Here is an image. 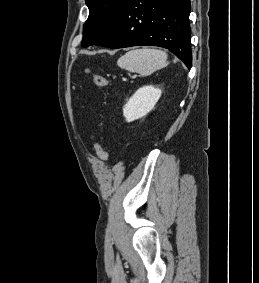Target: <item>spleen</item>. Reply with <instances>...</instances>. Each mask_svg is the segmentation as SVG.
I'll list each match as a JSON object with an SVG mask.
<instances>
[{
    "mask_svg": "<svg viewBox=\"0 0 259 283\" xmlns=\"http://www.w3.org/2000/svg\"><path fill=\"white\" fill-rule=\"evenodd\" d=\"M120 68L148 76L168 65L167 54L159 49L142 48L127 52L117 61Z\"/></svg>",
    "mask_w": 259,
    "mask_h": 283,
    "instance_id": "obj_1",
    "label": "spleen"
}]
</instances>
